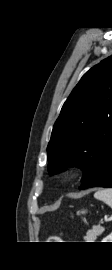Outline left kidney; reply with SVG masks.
Returning a JSON list of instances; mask_svg holds the SVG:
<instances>
[{
  "instance_id": "5707ae66",
  "label": "left kidney",
  "mask_w": 112,
  "mask_h": 270,
  "mask_svg": "<svg viewBox=\"0 0 112 270\" xmlns=\"http://www.w3.org/2000/svg\"><path fill=\"white\" fill-rule=\"evenodd\" d=\"M102 242H112V233L108 235Z\"/></svg>"
}]
</instances>
